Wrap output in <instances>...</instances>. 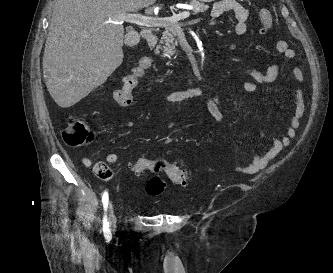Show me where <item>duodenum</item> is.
Instances as JSON below:
<instances>
[{
    "label": "duodenum",
    "mask_w": 333,
    "mask_h": 273,
    "mask_svg": "<svg viewBox=\"0 0 333 273\" xmlns=\"http://www.w3.org/2000/svg\"><path fill=\"white\" fill-rule=\"evenodd\" d=\"M141 36L144 40L149 43H155L156 37L150 29L141 30Z\"/></svg>",
    "instance_id": "obj_1"
}]
</instances>
